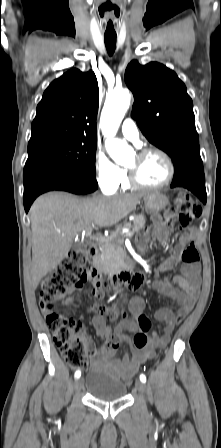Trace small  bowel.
Segmentation results:
<instances>
[{"mask_svg":"<svg viewBox=\"0 0 221 448\" xmlns=\"http://www.w3.org/2000/svg\"><path fill=\"white\" fill-rule=\"evenodd\" d=\"M176 218L173 212H166L164 219L154 217L152 225L148 229V234L138 239L140 248H145L149 242H156L164 245L169 239L172 224ZM191 241V234H185L180 238L174 254L165 260L159 270L164 272L174 266L181 264V274L176 275L172 282L168 280L157 281L154 288L163 296L170 298L178 305L176 312L168 308H161L156 311L155 318L165 323L163 333L158 335L153 332L148 338L147 344L143 348L131 346V352L125 354L122 359L116 358V352L120 343L131 345L130 333H137L140 330L138 318L143 315L144 300L140 296H135L130 301V310L134 318H125L118 323L114 331L106 324V318H114L116 310L110 306L99 304L92 305L86 309V313L92 316V324L95 333L104 340V346L100 351L92 350L91 356L93 365L96 368H105L121 379L132 377L146 360L155 356L156 350L163 349L170 341L174 327L193 308L200 286V268L198 264H187L182 261V249ZM100 282L93 281L92 294L100 298L102 293L99 290ZM63 304L74 306L76 299L67 297Z\"/></svg>","mask_w":221,"mask_h":448,"instance_id":"1","label":"small bowel"}]
</instances>
